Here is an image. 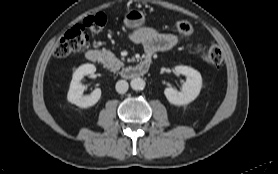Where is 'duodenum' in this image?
Wrapping results in <instances>:
<instances>
[{"mask_svg":"<svg viewBox=\"0 0 278 174\" xmlns=\"http://www.w3.org/2000/svg\"><path fill=\"white\" fill-rule=\"evenodd\" d=\"M86 58L90 62L96 63L100 60V53L97 50L90 49L86 52ZM151 60L145 59L135 66L126 67L122 70V76L125 78H136L146 74L150 68Z\"/></svg>","mask_w":278,"mask_h":174,"instance_id":"410a0bca","label":"duodenum"}]
</instances>
